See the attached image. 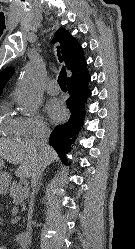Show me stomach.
I'll return each instance as SVG.
<instances>
[{"label":"stomach","mask_w":135,"mask_h":249,"mask_svg":"<svg viewBox=\"0 0 135 249\" xmlns=\"http://www.w3.org/2000/svg\"><path fill=\"white\" fill-rule=\"evenodd\" d=\"M3 164H4L3 160L0 159V169L3 167ZM2 177H7V179L9 180V176L7 174H0V189L4 188V184L1 180Z\"/></svg>","instance_id":"0dacf381"}]
</instances>
